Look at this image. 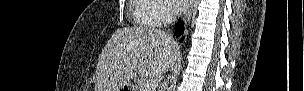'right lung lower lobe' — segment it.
<instances>
[{
	"instance_id": "right-lung-lower-lobe-1",
	"label": "right lung lower lobe",
	"mask_w": 304,
	"mask_h": 91,
	"mask_svg": "<svg viewBox=\"0 0 304 91\" xmlns=\"http://www.w3.org/2000/svg\"><path fill=\"white\" fill-rule=\"evenodd\" d=\"M183 29H184V23L179 21L176 24V36H179L181 33H183ZM182 40H183V38H182Z\"/></svg>"
}]
</instances>
